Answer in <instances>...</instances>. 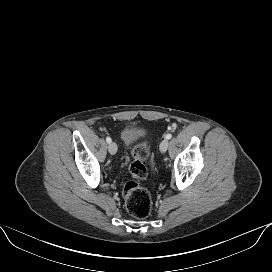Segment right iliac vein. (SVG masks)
<instances>
[{
    "mask_svg": "<svg viewBox=\"0 0 272 272\" xmlns=\"http://www.w3.org/2000/svg\"><path fill=\"white\" fill-rule=\"evenodd\" d=\"M108 151L110 154L114 155L116 154L117 152V145L115 142H111L109 145H108Z\"/></svg>",
    "mask_w": 272,
    "mask_h": 272,
    "instance_id": "obj_1",
    "label": "right iliac vein"
}]
</instances>
